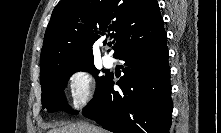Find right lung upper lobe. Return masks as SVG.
Masks as SVG:
<instances>
[{"instance_id":"right-lung-upper-lobe-1","label":"right lung upper lobe","mask_w":221,"mask_h":133,"mask_svg":"<svg viewBox=\"0 0 221 133\" xmlns=\"http://www.w3.org/2000/svg\"><path fill=\"white\" fill-rule=\"evenodd\" d=\"M114 38V57L126 48L166 35L157 0H61L53 10L41 51L49 66L93 62V44Z\"/></svg>"}]
</instances>
